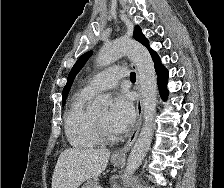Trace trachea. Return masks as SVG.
Wrapping results in <instances>:
<instances>
[{
  "label": "trachea",
  "instance_id": "1",
  "mask_svg": "<svg viewBox=\"0 0 224 188\" xmlns=\"http://www.w3.org/2000/svg\"><path fill=\"white\" fill-rule=\"evenodd\" d=\"M130 80H131L132 82H135V81H136V74H135L134 72H131V73H130Z\"/></svg>",
  "mask_w": 224,
  "mask_h": 188
}]
</instances>
